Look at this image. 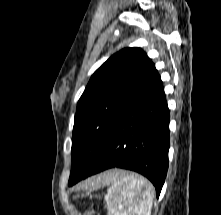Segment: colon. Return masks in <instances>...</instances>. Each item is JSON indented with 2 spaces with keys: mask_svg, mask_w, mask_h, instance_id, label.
I'll return each instance as SVG.
<instances>
[{
  "mask_svg": "<svg viewBox=\"0 0 221 215\" xmlns=\"http://www.w3.org/2000/svg\"><path fill=\"white\" fill-rule=\"evenodd\" d=\"M87 215H99V214L95 211H90V212L87 213Z\"/></svg>",
  "mask_w": 221,
  "mask_h": 215,
  "instance_id": "5ec220e1",
  "label": "colon"
}]
</instances>
